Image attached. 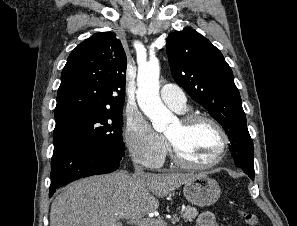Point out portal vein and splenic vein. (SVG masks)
<instances>
[{
    "label": "portal vein and splenic vein",
    "mask_w": 297,
    "mask_h": 226,
    "mask_svg": "<svg viewBox=\"0 0 297 226\" xmlns=\"http://www.w3.org/2000/svg\"><path fill=\"white\" fill-rule=\"evenodd\" d=\"M173 222H178L179 219L174 218L172 219ZM156 222V219L150 218H138L131 220V223L136 224L138 226H152Z\"/></svg>",
    "instance_id": "1"
}]
</instances>
